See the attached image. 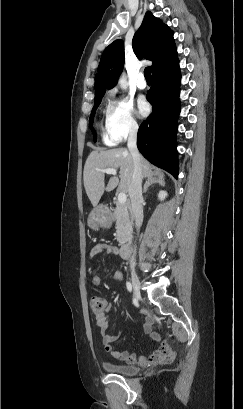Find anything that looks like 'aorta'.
Here are the masks:
<instances>
[{"label":"aorta","mask_w":243,"mask_h":409,"mask_svg":"<svg viewBox=\"0 0 243 409\" xmlns=\"http://www.w3.org/2000/svg\"><path fill=\"white\" fill-rule=\"evenodd\" d=\"M118 84H119V86H120L122 89H127V87H128V82H127V77H126L125 74H122V75H121V77H120V79H119V81H118Z\"/></svg>","instance_id":"aorta-1"}]
</instances>
